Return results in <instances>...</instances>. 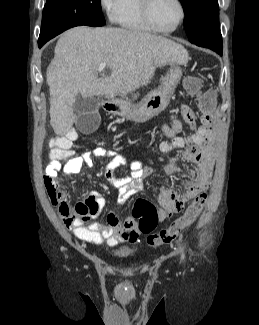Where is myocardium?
<instances>
[{"label":"myocardium","mask_w":259,"mask_h":325,"mask_svg":"<svg viewBox=\"0 0 259 325\" xmlns=\"http://www.w3.org/2000/svg\"><path fill=\"white\" fill-rule=\"evenodd\" d=\"M175 1L178 4L179 9H180L179 19L173 28L168 29V30H163V29L158 28L155 25L153 18H152L151 8H152V4H153L154 0H141V9H142L143 18H144L145 22L147 23V25L153 31H155L157 33H161V34H171V33L175 32L181 26V24L183 23L185 16H186V10H185L184 3L181 0H175Z\"/></svg>","instance_id":"1"}]
</instances>
